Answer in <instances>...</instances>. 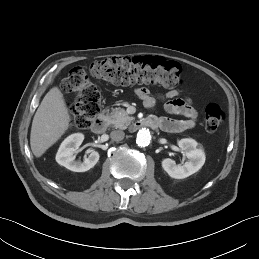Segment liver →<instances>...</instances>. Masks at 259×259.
<instances>
[{"label":"liver","instance_id":"liver-1","mask_svg":"<svg viewBox=\"0 0 259 259\" xmlns=\"http://www.w3.org/2000/svg\"><path fill=\"white\" fill-rule=\"evenodd\" d=\"M70 123V115L62 92L53 87L39 105L32 122L30 145L33 154L41 157L60 139Z\"/></svg>","mask_w":259,"mask_h":259}]
</instances>
